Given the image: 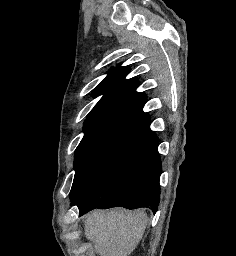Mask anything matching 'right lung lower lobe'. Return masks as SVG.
Returning <instances> with one entry per match:
<instances>
[{
    "label": "right lung lower lobe",
    "mask_w": 236,
    "mask_h": 256,
    "mask_svg": "<svg viewBox=\"0 0 236 256\" xmlns=\"http://www.w3.org/2000/svg\"><path fill=\"white\" fill-rule=\"evenodd\" d=\"M161 160L158 137L149 130L105 164L73 199L79 215L95 208L146 207L154 213L160 200Z\"/></svg>",
    "instance_id": "1"
}]
</instances>
